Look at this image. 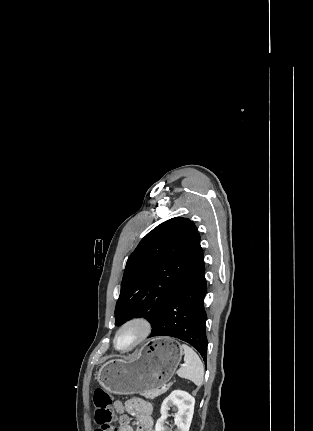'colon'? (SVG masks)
<instances>
[{"label": "colon", "instance_id": "1", "mask_svg": "<svg viewBox=\"0 0 313 431\" xmlns=\"http://www.w3.org/2000/svg\"><path fill=\"white\" fill-rule=\"evenodd\" d=\"M94 417L98 427L95 431H117L113 426V412H112V396L102 388H97L94 391Z\"/></svg>", "mask_w": 313, "mask_h": 431}]
</instances>
